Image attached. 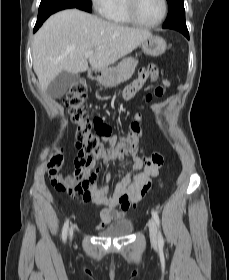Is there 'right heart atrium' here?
<instances>
[{"label": "right heart atrium", "mask_w": 229, "mask_h": 280, "mask_svg": "<svg viewBox=\"0 0 229 280\" xmlns=\"http://www.w3.org/2000/svg\"><path fill=\"white\" fill-rule=\"evenodd\" d=\"M114 1L115 0H91V3L100 15L105 16L113 7Z\"/></svg>", "instance_id": "1"}]
</instances>
